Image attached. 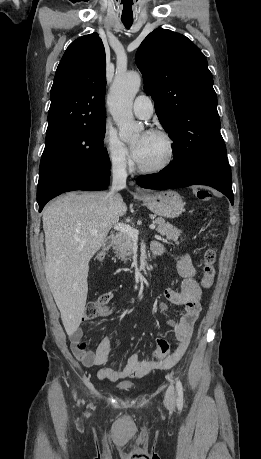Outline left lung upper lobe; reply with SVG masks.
Masks as SVG:
<instances>
[{"instance_id":"5c2ea615","label":"left lung upper lobe","mask_w":261,"mask_h":459,"mask_svg":"<svg viewBox=\"0 0 261 459\" xmlns=\"http://www.w3.org/2000/svg\"><path fill=\"white\" fill-rule=\"evenodd\" d=\"M136 64L174 142L172 167L183 172L203 158L226 153L212 74L192 41L158 28L141 43Z\"/></svg>"}]
</instances>
